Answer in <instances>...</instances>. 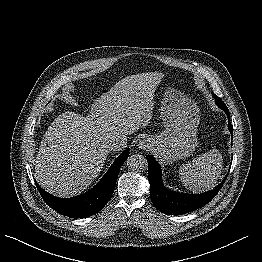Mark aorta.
<instances>
[{"label": "aorta", "instance_id": "762f6f07", "mask_svg": "<svg viewBox=\"0 0 262 262\" xmlns=\"http://www.w3.org/2000/svg\"><path fill=\"white\" fill-rule=\"evenodd\" d=\"M128 168L133 171H143L147 168V161L142 155L134 154L127 159Z\"/></svg>", "mask_w": 262, "mask_h": 262}]
</instances>
